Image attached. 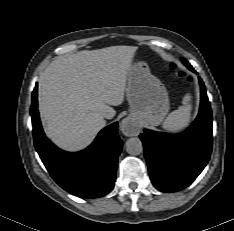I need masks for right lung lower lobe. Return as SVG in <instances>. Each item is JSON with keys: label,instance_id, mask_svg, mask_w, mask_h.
<instances>
[{"label": "right lung lower lobe", "instance_id": "right-lung-lower-lobe-1", "mask_svg": "<svg viewBox=\"0 0 234 231\" xmlns=\"http://www.w3.org/2000/svg\"><path fill=\"white\" fill-rule=\"evenodd\" d=\"M37 88L36 84L31 106L34 145L52 178L63 189L82 198L108 194L114 187L116 165L122 149L117 122L105 127L85 150L64 152L44 135L37 109Z\"/></svg>", "mask_w": 234, "mask_h": 231}]
</instances>
